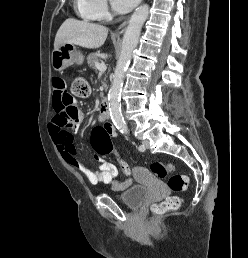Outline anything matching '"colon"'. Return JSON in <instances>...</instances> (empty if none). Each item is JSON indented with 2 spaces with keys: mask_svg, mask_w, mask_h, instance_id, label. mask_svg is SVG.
Instances as JSON below:
<instances>
[{
  "mask_svg": "<svg viewBox=\"0 0 248 258\" xmlns=\"http://www.w3.org/2000/svg\"><path fill=\"white\" fill-rule=\"evenodd\" d=\"M89 84L83 77H75L71 85V93L75 97H87L89 95ZM77 113V109L72 107L68 112L58 114L63 126H70L73 116ZM94 149L97 155H111L115 158V164L118 169H123L125 173L131 165L126 158H121L120 152L115 150V144H111L110 134L104 126L96 127L92 134ZM151 171L160 178L166 179L169 188L173 191H185L188 187V177L174 173L175 166L172 163L153 162L150 166ZM182 205V199L178 196H169L164 201L154 204L152 210L156 214L164 213L170 210H176Z\"/></svg>",
  "mask_w": 248,
  "mask_h": 258,
  "instance_id": "1",
  "label": "colon"
}]
</instances>
